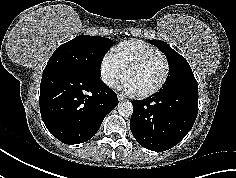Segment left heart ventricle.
<instances>
[{
  "instance_id": "obj_1",
  "label": "left heart ventricle",
  "mask_w": 236,
  "mask_h": 178,
  "mask_svg": "<svg viewBox=\"0 0 236 178\" xmlns=\"http://www.w3.org/2000/svg\"><path fill=\"white\" fill-rule=\"evenodd\" d=\"M164 73V61L158 58L131 70L126 75L125 81L132 87L134 93H141L157 86Z\"/></svg>"
}]
</instances>
